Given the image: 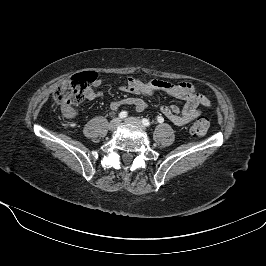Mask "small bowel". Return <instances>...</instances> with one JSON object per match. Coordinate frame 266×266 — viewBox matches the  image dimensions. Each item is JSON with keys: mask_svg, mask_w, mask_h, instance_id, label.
<instances>
[{"mask_svg": "<svg viewBox=\"0 0 266 266\" xmlns=\"http://www.w3.org/2000/svg\"><path fill=\"white\" fill-rule=\"evenodd\" d=\"M102 84V80L97 79L94 86L98 87ZM122 91L129 92L135 95L149 96L156 92H163L170 96L182 99L185 104L182 108L177 105L162 106L161 113L170 122L176 126H183L194 120L200 115L199 106H210V100L201 94L193 84L188 82H181L173 84L159 79H142L136 77H129L126 84L120 87ZM102 96V92L89 88L86 91L85 97L92 101ZM123 105L134 106L136 111L142 112L147 108V103L138 97H127L120 100L113 101L110 108L117 111ZM65 117L72 119L77 115V110L74 108L62 109Z\"/></svg>", "mask_w": 266, "mask_h": 266, "instance_id": "c3829d8e", "label": "small bowel"}]
</instances>
